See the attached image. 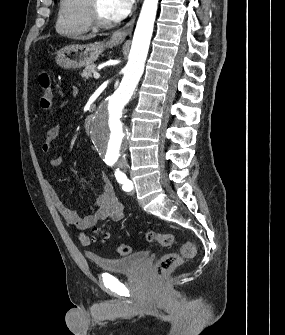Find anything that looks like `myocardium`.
<instances>
[{"mask_svg":"<svg viewBox=\"0 0 285 335\" xmlns=\"http://www.w3.org/2000/svg\"><path fill=\"white\" fill-rule=\"evenodd\" d=\"M91 24L95 30H107L113 27V22L103 18L100 10L99 1H91Z\"/></svg>","mask_w":285,"mask_h":335,"instance_id":"obj_1","label":"myocardium"}]
</instances>
